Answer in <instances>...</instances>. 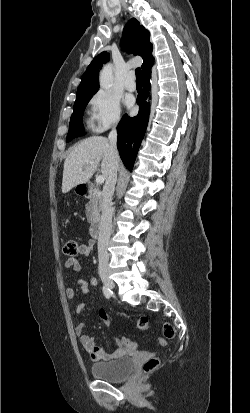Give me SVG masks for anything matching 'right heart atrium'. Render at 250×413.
I'll use <instances>...</instances> for the list:
<instances>
[{
  "mask_svg": "<svg viewBox=\"0 0 250 413\" xmlns=\"http://www.w3.org/2000/svg\"><path fill=\"white\" fill-rule=\"evenodd\" d=\"M89 109V127L95 133L114 127L121 120L119 97L110 91H97L90 99Z\"/></svg>",
  "mask_w": 250,
  "mask_h": 413,
  "instance_id": "obj_1",
  "label": "right heart atrium"
}]
</instances>
